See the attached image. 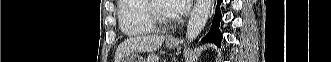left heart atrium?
<instances>
[{
	"label": "left heart atrium",
	"instance_id": "obj_1",
	"mask_svg": "<svg viewBox=\"0 0 331 62\" xmlns=\"http://www.w3.org/2000/svg\"><path fill=\"white\" fill-rule=\"evenodd\" d=\"M167 3L169 12L173 16H179L189 9L191 0H169Z\"/></svg>",
	"mask_w": 331,
	"mask_h": 62
}]
</instances>
